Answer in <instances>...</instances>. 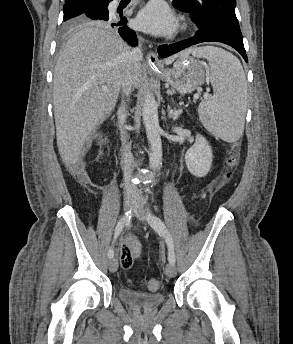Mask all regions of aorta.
<instances>
[{
    "label": "aorta",
    "instance_id": "1",
    "mask_svg": "<svg viewBox=\"0 0 293 344\" xmlns=\"http://www.w3.org/2000/svg\"><path fill=\"white\" fill-rule=\"evenodd\" d=\"M142 116L151 149L149 164L150 168L155 171L158 170L162 164L161 128L158 119V105L153 93L149 91L145 93Z\"/></svg>",
    "mask_w": 293,
    "mask_h": 344
}]
</instances>
